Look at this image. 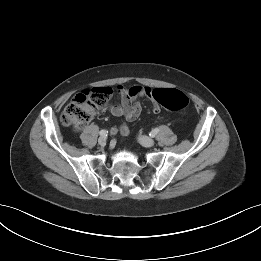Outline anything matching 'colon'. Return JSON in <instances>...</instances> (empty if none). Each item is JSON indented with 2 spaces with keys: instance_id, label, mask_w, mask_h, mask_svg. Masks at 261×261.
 Segmentation results:
<instances>
[{
  "instance_id": "colon-1",
  "label": "colon",
  "mask_w": 261,
  "mask_h": 261,
  "mask_svg": "<svg viewBox=\"0 0 261 261\" xmlns=\"http://www.w3.org/2000/svg\"><path fill=\"white\" fill-rule=\"evenodd\" d=\"M112 90L109 87H97L83 91L68 104L61 114L64 125L81 130L102 109L111 98ZM154 103L169 111H179L186 108L189 99L186 94L176 89H155L152 91ZM111 136H117L119 129L111 127Z\"/></svg>"
}]
</instances>
